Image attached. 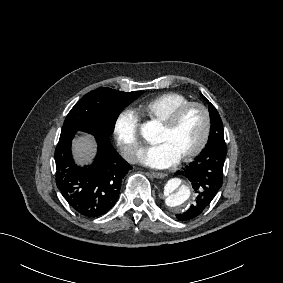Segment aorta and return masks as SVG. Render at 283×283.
Returning a JSON list of instances; mask_svg holds the SVG:
<instances>
[{"label":"aorta","mask_w":283,"mask_h":283,"mask_svg":"<svg viewBox=\"0 0 283 283\" xmlns=\"http://www.w3.org/2000/svg\"><path fill=\"white\" fill-rule=\"evenodd\" d=\"M141 134L148 141L154 140L158 134V127L153 122H147L142 125ZM162 198L167 207L183 212L192 203L193 193L186 180L171 178L163 187Z\"/></svg>","instance_id":"aorta-1"}]
</instances>
